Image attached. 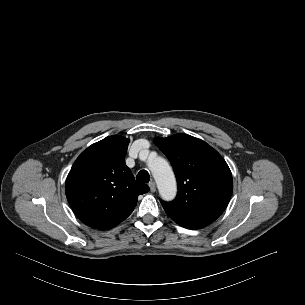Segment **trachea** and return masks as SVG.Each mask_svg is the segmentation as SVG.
<instances>
[{"mask_svg": "<svg viewBox=\"0 0 305 305\" xmlns=\"http://www.w3.org/2000/svg\"><path fill=\"white\" fill-rule=\"evenodd\" d=\"M136 179L143 183H148L150 181V175L146 170H141L137 176Z\"/></svg>", "mask_w": 305, "mask_h": 305, "instance_id": "3493384b", "label": "trachea"}]
</instances>
